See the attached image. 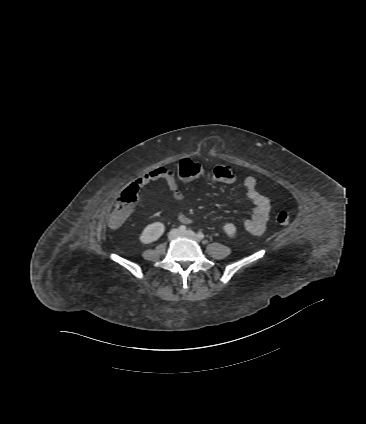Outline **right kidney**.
I'll return each instance as SVG.
<instances>
[{
  "instance_id": "1",
  "label": "right kidney",
  "mask_w": 366,
  "mask_h": 424,
  "mask_svg": "<svg viewBox=\"0 0 366 424\" xmlns=\"http://www.w3.org/2000/svg\"><path fill=\"white\" fill-rule=\"evenodd\" d=\"M165 226L161 222H155L146 226L139 237L143 244H150L157 241L164 233Z\"/></svg>"
}]
</instances>
